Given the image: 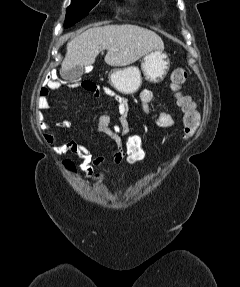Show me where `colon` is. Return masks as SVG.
Returning <instances> with one entry per match:
<instances>
[{
    "instance_id": "obj_1",
    "label": "colon",
    "mask_w": 240,
    "mask_h": 287,
    "mask_svg": "<svg viewBox=\"0 0 240 287\" xmlns=\"http://www.w3.org/2000/svg\"><path fill=\"white\" fill-rule=\"evenodd\" d=\"M188 77L187 71L182 67H177L171 72V87L175 91L177 103L181 107L183 115V137L185 139L191 138L197 131L199 126V113L195 109L194 103L191 99L181 92L183 84L186 82ZM72 88H82L86 91H91L96 86L91 81H82L69 85ZM116 129L120 127L115 126ZM125 162L133 167L138 168L145 162L146 152L143 144V139L137 134H127L124 136L122 143ZM71 168L70 164H67Z\"/></svg>"
}]
</instances>
